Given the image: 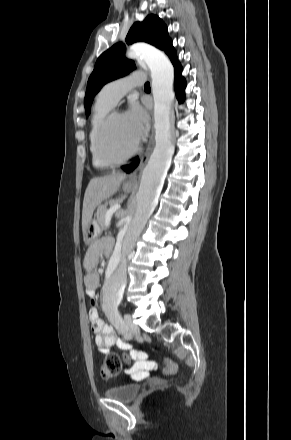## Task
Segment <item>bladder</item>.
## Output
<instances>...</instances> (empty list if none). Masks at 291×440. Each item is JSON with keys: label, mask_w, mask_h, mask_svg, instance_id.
I'll return each instance as SVG.
<instances>
[{"label": "bladder", "mask_w": 291, "mask_h": 440, "mask_svg": "<svg viewBox=\"0 0 291 440\" xmlns=\"http://www.w3.org/2000/svg\"><path fill=\"white\" fill-rule=\"evenodd\" d=\"M140 387L135 384H124L117 387H109L105 394L112 400L129 403L139 393Z\"/></svg>", "instance_id": "31cf9c89"}]
</instances>
